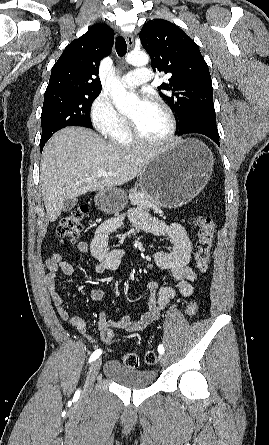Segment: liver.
Masks as SVG:
<instances>
[{
  "instance_id": "1",
  "label": "liver",
  "mask_w": 269,
  "mask_h": 445,
  "mask_svg": "<svg viewBox=\"0 0 269 445\" xmlns=\"http://www.w3.org/2000/svg\"><path fill=\"white\" fill-rule=\"evenodd\" d=\"M162 149L108 143L83 127L57 132L44 147L40 164L48 219L53 222L60 216L65 199L131 181ZM99 170L109 175L99 177Z\"/></svg>"
}]
</instances>
